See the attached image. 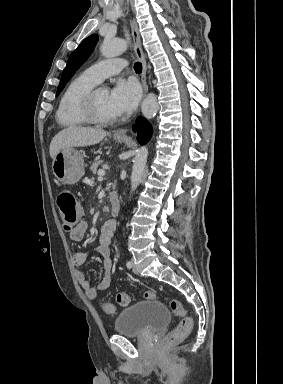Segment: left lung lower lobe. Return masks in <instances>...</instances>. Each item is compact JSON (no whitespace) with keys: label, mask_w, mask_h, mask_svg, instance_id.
Instances as JSON below:
<instances>
[{"label":"left lung lower lobe","mask_w":283,"mask_h":384,"mask_svg":"<svg viewBox=\"0 0 283 384\" xmlns=\"http://www.w3.org/2000/svg\"><path fill=\"white\" fill-rule=\"evenodd\" d=\"M133 130L137 133V140L141 144H145L152 135V127L150 123L143 117H138Z\"/></svg>","instance_id":"0a47b994"}]
</instances>
